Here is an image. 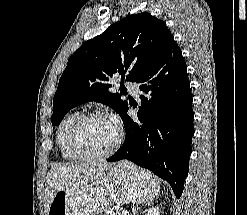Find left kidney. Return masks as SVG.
<instances>
[{"label":"left kidney","mask_w":247,"mask_h":215,"mask_svg":"<svg viewBox=\"0 0 247 215\" xmlns=\"http://www.w3.org/2000/svg\"><path fill=\"white\" fill-rule=\"evenodd\" d=\"M160 214V211H159V208H149L148 212H147V215H159Z\"/></svg>","instance_id":"1"}]
</instances>
